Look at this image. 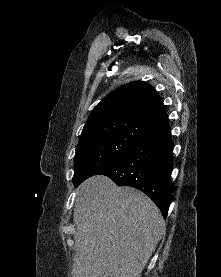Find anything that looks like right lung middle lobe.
<instances>
[{"label": "right lung middle lobe", "instance_id": "1", "mask_svg": "<svg viewBox=\"0 0 221 277\" xmlns=\"http://www.w3.org/2000/svg\"><path fill=\"white\" fill-rule=\"evenodd\" d=\"M142 136L136 122L82 131L74 158V185L120 161Z\"/></svg>", "mask_w": 221, "mask_h": 277}]
</instances>
